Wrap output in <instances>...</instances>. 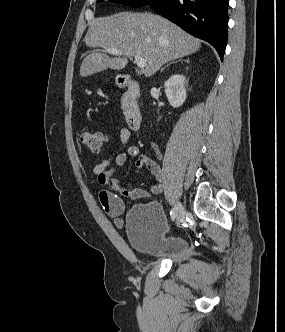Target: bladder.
I'll return each instance as SVG.
<instances>
[{"label":"bladder","mask_w":285,"mask_h":332,"mask_svg":"<svg viewBox=\"0 0 285 332\" xmlns=\"http://www.w3.org/2000/svg\"><path fill=\"white\" fill-rule=\"evenodd\" d=\"M125 230L131 247L145 256L179 262L190 254L183 237L167 234L163 210L156 202L133 206L126 215Z\"/></svg>","instance_id":"obj_1"}]
</instances>
